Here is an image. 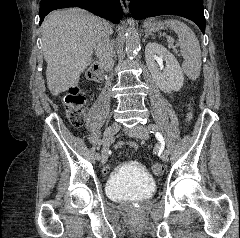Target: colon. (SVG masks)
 I'll use <instances>...</instances> for the list:
<instances>
[{"instance_id":"1","label":"colon","mask_w":240,"mask_h":238,"mask_svg":"<svg viewBox=\"0 0 240 238\" xmlns=\"http://www.w3.org/2000/svg\"><path fill=\"white\" fill-rule=\"evenodd\" d=\"M87 76L92 81H99L101 78V71L98 67H91ZM87 92L79 87L72 86L69 88L65 96L66 114L69 122L74 127H81L86 115ZM192 113L189 112L188 117L191 118ZM152 172L156 176H160L164 172V167L160 163L152 166Z\"/></svg>"}]
</instances>
